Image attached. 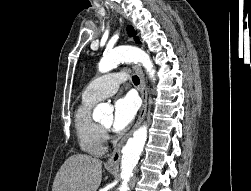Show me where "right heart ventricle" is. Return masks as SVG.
<instances>
[{"mask_svg":"<svg viewBox=\"0 0 251 191\" xmlns=\"http://www.w3.org/2000/svg\"><path fill=\"white\" fill-rule=\"evenodd\" d=\"M96 101L82 97L75 109L74 128L80 150L89 155L102 156L106 152L105 130L90 114Z\"/></svg>","mask_w":251,"mask_h":191,"instance_id":"e07e8e85","label":"right heart ventricle"}]
</instances>
